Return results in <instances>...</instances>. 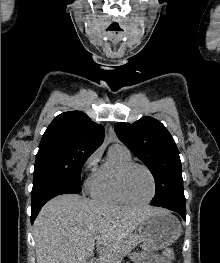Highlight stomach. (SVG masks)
<instances>
[{
    "mask_svg": "<svg viewBox=\"0 0 220 263\" xmlns=\"http://www.w3.org/2000/svg\"><path fill=\"white\" fill-rule=\"evenodd\" d=\"M179 220L166 210L150 214L139 226L142 248L158 250L174 243L181 235Z\"/></svg>",
    "mask_w": 220,
    "mask_h": 263,
    "instance_id": "0dacf381",
    "label": "stomach"
}]
</instances>
